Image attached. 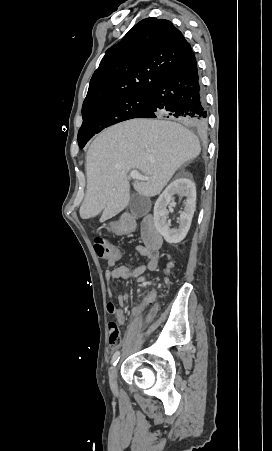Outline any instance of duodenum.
Listing matches in <instances>:
<instances>
[{
  "label": "duodenum",
  "instance_id": "410a0bca",
  "mask_svg": "<svg viewBox=\"0 0 272 451\" xmlns=\"http://www.w3.org/2000/svg\"><path fill=\"white\" fill-rule=\"evenodd\" d=\"M136 227L134 220L131 218H125L116 223L113 230L116 234L124 235L132 232ZM141 231L145 246L152 250L157 251L162 245V237L155 225L152 217L145 218L141 223Z\"/></svg>",
  "mask_w": 272,
  "mask_h": 451
}]
</instances>
